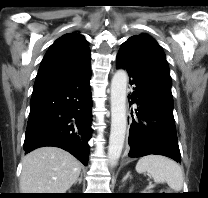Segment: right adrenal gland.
Returning <instances> with one entry per match:
<instances>
[{"instance_id":"right-adrenal-gland-1","label":"right adrenal gland","mask_w":208,"mask_h":198,"mask_svg":"<svg viewBox=\"0 0 208 198\" xmlns=\"http://www.w3.org/2000/svg\"><path fill=\"white\" fill-rule=\"evenodd\" d=\"M81 182H82V173L80 174V177L77 179V181L74 184L77 183L81 184Z\"/></svg>"}]
</instances>
